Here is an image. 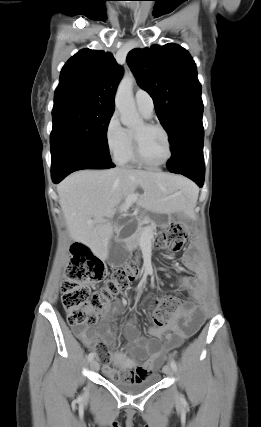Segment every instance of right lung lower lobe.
I'll list each match as a JSON object with an SVG mask.
<instances>
[{"label":"right lung lower lobe","instance_id":"1","mask_svg":"<svg viewBox=\"0 0 261 427\" xmlns=\"http://www.w3.org/2000/svg\"><path fill=\"white\" fill-rule=\"evenodd\" d=\"M115 165L111 159H97L85 155L68 154L52 160V179L59 183L70 173L82 169H109Z\"/></svg>","mask_w":261,"mask_h":427}]
</instances>
